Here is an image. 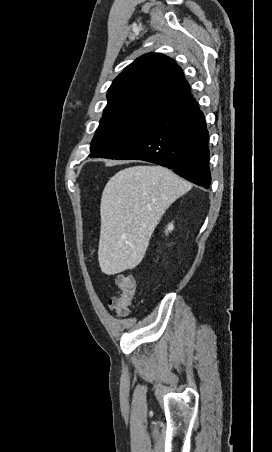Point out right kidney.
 Masks as SVG:
<instances>
[{
  "label": "right kidney",
  "instance_id": "obj_1",
  "mask_svg": "<svg viewBox=\"0 0 272 452\" xmlns=\"http://www.w3.org/2000/svg\"><path fill=\"white\" fill-rule=\"evenodd\" d=\"M173 224L171 223V224H169L168 225V227H167V230H166V232L168 233V231H172L173 230Z\"/></svg>",
  "mask_w": 272,
  "mask_h": 452
}]
</instances>
